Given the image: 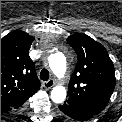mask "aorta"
Masks as SVG:
<instances>
[{"label": "aorta", "mask_w": 122, "mask_h": 122, "mask_svg": "<svg viewBox=\"0 0 122 122\" xmlns=\"http://www.w3.org/2000/svg\"><path fill=\"white\" fill-rule=\"evenodd\" d=\"M66 57L63 53L57 52L49 57V66L52 72L59 78L66 72ZM66 98V89L63 86H56L51 91V99L54 103H62Z\"/></svg>", "instance_id": "obj_1"}]
</instances>
